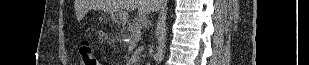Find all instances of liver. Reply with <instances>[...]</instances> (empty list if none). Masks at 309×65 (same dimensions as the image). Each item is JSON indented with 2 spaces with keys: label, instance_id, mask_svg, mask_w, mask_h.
<instances>
[{
  "label": "liver",
  "instance_id": "1",
  "mask_svg": "<svg viewBox=\"0 0 309 65\" xmlns=\"http://www.w3.org/2000/svg\"><path fill=\"white\" fill-rule=\"evenodd\" d=\"M161 0H98L95 7L107 11H129L138 8L141 14L159 11Z\"/></svg>",
  "mask_w": 309,
  "mask_h": 65
}]
</instances>
